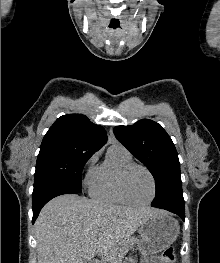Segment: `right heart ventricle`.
I'll return each mask as SVG.
<instances>
[{
    "label": "right heart ventricle",
    "instance_id": "e07e8e85",
    "mask_svg": "<svg viewBox=\"0 0 220 263\" xmlns=\"http://www.w3.org/2000/svg\"><path fill=\"white\" fill-rule=\"evenodd\" d=\"M131 163L132 156L126 149L111 146L104 161L91 173L88 180L91 197L108 204H127L119 192L118 179L121 170Z\"/></svg>",
    "mask_w": 220,
    "mask_h": 263
}]
</instances>
